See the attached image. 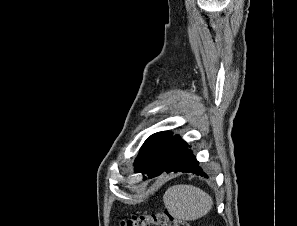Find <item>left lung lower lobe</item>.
<instances>
[{
  "label": "left lung lower lobe",
  "instance_id": "1",
  "mask_svg": "<svg viewBox=\"0 0 297 226\" xmlns=\"http://www.w3.org/2000/svg\"><path fill=\"white\" fill-rule=\"evenodd\" d=\"M172 171L188 172L206 178L208 177L199 166V162L192 154V151L188 149L186 142L179 136H174L170 145L148 176L152 178L160 175L162 172Z\"/></svg>",
  "mask_w": 297,
  "mask_h": 226
}]
</instances>
